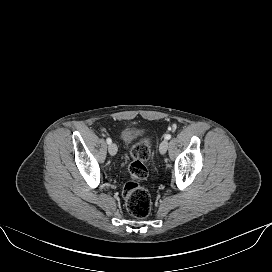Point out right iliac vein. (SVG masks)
Returning <instances> with one entry per match:
<instances>
[{
	"instance_id": "right-iliac-vein-1",
	"label": "right iliac vein",
	"mask_w": 272,
	"mask_h": 272,
	"mask_svg": "<svg viewBox=\"0 0 272 272\" xmlns=\"http://www.w3.org/2000/svg\"><path fill=\"white\" fill-rule=\"evenodd\" d=\"M108 151L110 153V155H115L117 153V146L115 143H111L108 147Z\"/></svg>"
}]
</instances>
